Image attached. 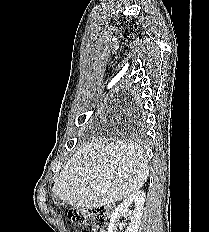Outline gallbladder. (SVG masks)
<instances>
[{
  "instance_id": "bac80fb5",
  "label": "gallbladder",
  "mask_w": 209,
  "mask_h": 232,
  "mask_svg": "<svg viewBox=\"0 0 209 232\" xmlns=\"http://www.w3.org/2000/svg\"><path fill=\"white\" fill-rule=\"evenodd\" d=\"M54 203H55L57 206L63 205V202H62V200H61L59 197H55Z\"/></svg>"
}]
</instances>
